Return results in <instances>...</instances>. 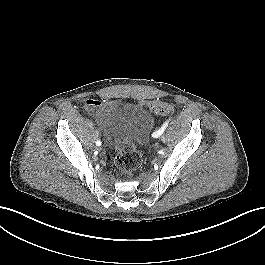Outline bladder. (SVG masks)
I'll use <instances>...</instances> for the list:
<instances>
[{
	"label": "bladder",
	"mask_w": 265,
	"mask_h": 265,
	"mask_svg": "<svg viewBox=\"0 0 265 265\" xmlns=\"http://www.w3.org/2000/svg\"><path fill=\"white\" fill-rule=\"evenodd\" d=\"M153 125V116L136 104L111 103L105 123L109 143L118 148L124 144H145Z\"/></svg>",
	"instance_id": "obj_1"
}]
</instances>
